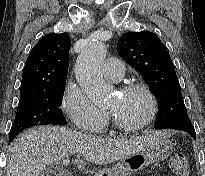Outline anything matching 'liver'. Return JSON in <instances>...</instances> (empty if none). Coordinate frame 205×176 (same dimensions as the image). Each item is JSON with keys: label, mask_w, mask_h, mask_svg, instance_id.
<instances>
[{"label": "liver", "mask_w": 205, "mask_h": 176, "mask_svg": "<svg viewBox=\"0 0 205 176\" xmlns=\"http://www.w3.org/2000/svg\"><path fill=\"white\" fill-rule=\"evenodd\" d=\"M166 134L153 131L130 139H105L64 127L38 126L21 133L7 151L6 176H44L46 166L78 153L87 162L103 165L129 157L155 145Z\"/></svg>", "instance_id": "6515ba94"}]
</instances>
